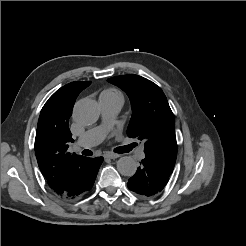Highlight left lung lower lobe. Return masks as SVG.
<instances>
[{"instance_id": "1", "label": "left lung lower lobe", "mask_w": 246, "mask_h": 246, "mask_svg": "<svg viewBox=\"0 0 246 246\" xmlns=\"http://www.w3.org/2000/svg\"><path fill=\"white\" fill-rule=\"evenodd\" d=\"M173 168L153 157L146 156L127 186L141 198H149L160 193L169 181Z\"/></svg>"}]
</instances>
